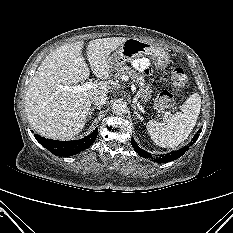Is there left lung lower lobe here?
I'll return each instance as SVG.
<instances>
[{"mask_svg": "<svg viewBox=\"0 0 233 233\" xmlns=\"http://www.w3.org/2000/svg\"><path fill=\"white\" fill-rule=\"evenodd\" d=\"M201 132V130H198L197 133L193 138H192V142L190 143V145H192L197 138L199 137V133ZM131 144L134 148V150L141 156L144 158H149V159H153V161L158 162V163H167L173 160L178 159L179 157H181L185 151L188 150V147H184L183 149H179L177 151H172L168 154L165 155H161L160 157H156V156H152L150 155L148 152L144 151L143 149H141L137 143L135 142V140L132 138L131 139Z\"/></svg>", "mask_w": 233, "mask_h": 233, "instance_id": "1", "label": "left lung lower lobe"}]
</instances>
